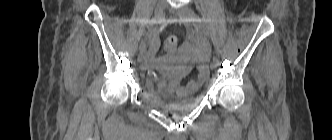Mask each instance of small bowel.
Masks as SVG:
<instances>
[{
	"mask_svg": "<svg viewBox=\"0 0 332 140\" xmlns=\"http://www.w3.org/2000/svg\"><path fill=\"white\" fill-rule=\"evenodd\" d=\"M198 46L194 47L191 44H184L180 47V51L192 53L198 63L199 75L196 81L202 82L208 75L207 61L209 57V48L203 42H198ZM158 52V41L153 38L150 40V45L148 51L145 52L143 69L147 70L155 61ZM155 74L149 72V78L153 79ZM157 88L159 90H166L170 93H176L180 89V85L176 82H168L165 75H162L157 83Z\"/></svg>",
	"mask_w": 332,
	"mask_h": 140,
	"instance_id": "obj_1",
	"label": "small bowel"
}]
</instances>
